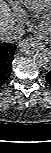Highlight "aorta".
<instances>
[{
	"instance_id": "obj_1",
	"label": "aorta",
	"mask_w": 51,
	"mask_h": 153,
	"mask_svg": "<svg viewBox=\"0 0 51 153\" xmlns=\"http://www.w3.org/2000/svg\"><path fill=\"white\" fill-rule=\"evenodd\" d=\"M19 50L36 60L41 66L48 68L50 66V51L40 41L32 38H26L19 43Z\"/></svg>"
}]
</instances>
